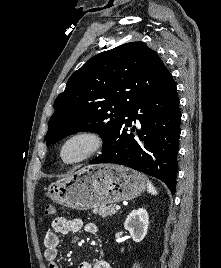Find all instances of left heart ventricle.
Returning <instances> with one entry per match:
<instances>
[{
    "mask_svg": "<svg viewBox=\"0 0 221 268\" xmlns=\"http://www.w3.org/2000/svg\"><path fill=\"white\" fill-rule=\"evenodd\" d=\"M84 149V143L82 141H75L71 143L65 151L68 158H72L80 153Z\"/></svg>",
    "mask_w": 221,
    "mask_h": 268,
    "instance_id": "b2bd125f",
    "label": "left heart ventricle"
}]
</instances>
